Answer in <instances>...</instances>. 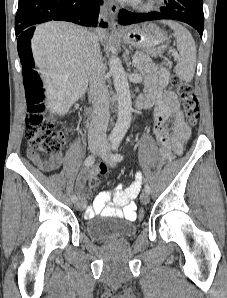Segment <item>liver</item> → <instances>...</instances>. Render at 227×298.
<instances>
[{"instance_id":"obj_1","label":"liver","mask_w":227,"mask_h":298,"mask_svg":"<svg viewBox=\"0 0 227 298\" xmlns=\"http://www.w3.org/2000/svg\"><path fill=\"white\" fill-rule=\"evenodd\" d=\"M90 33L72 23L52 21L39 25L31 40L36 66L47 92L46 108L65 115L86 92L85 44ZM98 39L105 35L95 34Z\"/></svg>"}]
</instances>
